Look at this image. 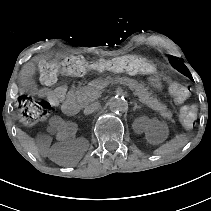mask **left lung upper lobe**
<instances>
[{
    "instance_id": "obj_1",
    "label": "left lung upper lobe",
    "mask_w": 211,
    "mask_h": 211,
    "mask_svg": "<svg viewBox=\"0 0 211 211\" xmlns=\"http://www.w3.org/2000/svg\"><path fill=\"white\" fill-rule=\"evenodd\" d=\"M168 58H169V62L171 63V65L175 69H177L182 74L186 75L188 78L192 79L191 73H190L189 69L185 66L184 63H182L181 61L175 59L172 56H168Z\"/></svg>"
}]
</instances>
